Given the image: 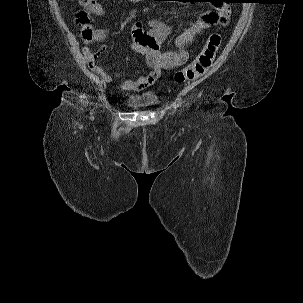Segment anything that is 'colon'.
Instances as JSON below:
<instances>
[{"label": "colon", "mask_w": 303, "mask_h": 303, "mask_svg": "<svg viewBox=\"0 0 303 303\" xmlns=\"http://www.w3.org/2000/svg\"><path fill=\"white\" fill-rule=\"evenodd\" d=\"M81 5H89L93 0H79ZM90 18L85 12H80L77 15V24L83 27L82 36L85 42L91 43L96 38V33L89 25ZM146 42H151L150 39H144ZM221 44V34L217 31L210 34L201 52L196 59L184 69L178 71L175 75V80L178 83L197 80L202 77L212 61Z\"/></svg>", "instance_id": "colon-1"}]
</instances>
